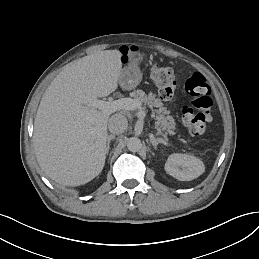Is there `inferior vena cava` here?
Wrapping results in <instances>:
<instances>
[{"label":"inferior vena cava","mask_w":259,"mask_h":259,"mask_svg":"<svg viewBox=\"0 0 259 259\" xmlns=\"http://www.w3.org/2000/svg\"><path fill=\"white\" fill-rule=\"evenodd\" d=\"M128 127L127 118L121 114H115L109 119L108 129L113 135H118L123 132Z\"/></svg>","instance_id":"602c4592"}]
</instances>
